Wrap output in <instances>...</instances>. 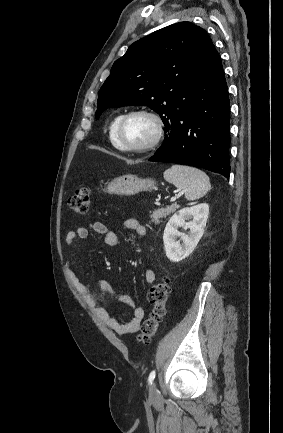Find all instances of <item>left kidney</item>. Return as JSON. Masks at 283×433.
I'll return each mask as SVG.
<instances>
[{
    "label": "left kidney",
    "mask_w": 283,
    "mask_h": 433,
    "mask_svg": "<svg viewBox=\"0 0 283 433\" xmlns=\"http://www.w3.org/2000/svg\"><path fill=\"white\" fill-rule=\"evenodd\" d=\"M209 214V205L201 203L186 207L175 213L166 224L163 242L167 258L172 262H179L188 257L203 236ZM192 219L186 222V220ZM189 229L186 235L178 229ZM180 237V240L177 238ZM182 241V243L180 242Z\"/></svg>",
    "instance_id": "1"
}]
</instances>
